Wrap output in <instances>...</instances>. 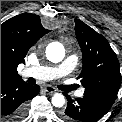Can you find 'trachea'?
Listing matches in <instances>:
<instances>
[{"label":"trachea","instance_id":"obj_1","mask_svg":"<svg viewBox=\"0 0 122 122\" xmlns=\"http://www.w3.org/2000/svg\"><path fill=\"white\" fill-rule=\"evenodd\" d=\"M75 88V86L71 85V86H62V90L64 91H71Z\"/></svg>","mask_w":122,"mask_h":122}]
</instances>
